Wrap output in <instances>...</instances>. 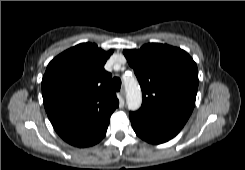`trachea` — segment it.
I'll use <instances>...</instances> for the list:
<instances>
[{"label": "trachea", "instance_id": "3493384b", "mask_svg": "<svg viewBox=\"0 0 245 170\" xmlns=\"http://www.w3.org/2000/svg\"><path fill=\"white\" fill-rule=\"evenodd\" d=\"M111 86L115 91H119L121 88V80L117 77L113 78L111 81Z\"/></svg>", "mask_w": 245, "mask_h": 170}]
</instances>
